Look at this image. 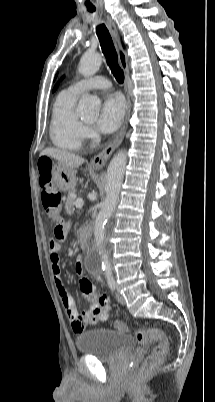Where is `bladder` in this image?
I'll use <instances>...</instances> for the list:
<instances>
[{
	"label": "bladder",
	"mask_w": 215,
	"mask_h": 402,
	"mask_svg": "<svg viewBox=\"0 0 215 402\" xmlns=\"http://www.w3.org/2000/svg\"><path fill=\"white\" fill-rule=\"evenodd\" d=\"M76 345L80 353L101 362H112L135 348L134 338L126 333L98 328L79 334Z\"/></svg>",
	"instance_id": "bladder-1"
}]
</instances>
